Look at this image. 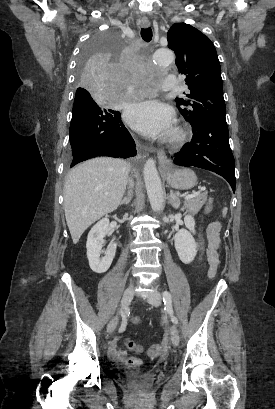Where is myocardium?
<instances>
[{
	"mask_svg": "<svg viewBox=\"0 0 275 409\" xmlns=\"http://www.w3.org/2000/svg\"><path fill=\"white\" fill-rule=\"evenodd\" d=\"M183 130L181 128H174L167 136L168 142H179L183 138Z\"/></svg>",
	"mask_w": 275,
	"mask_h": 409,
	"instance_id": "1",
	"label": "myocardium"
}]
</instances>
